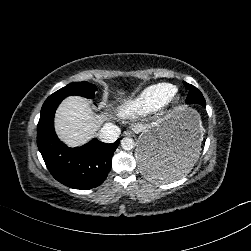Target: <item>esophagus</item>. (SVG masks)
Returning <instances> with one entry per match:
<instances>
[{
    "instance_id": "obj_1",
    "label": "esophagus",
    "mask_w": 251,
    "mask_h": 251,
    "mask_svg": "<svg viewBox=\"0 0 251 251\" xmlns=\"http://www.w3.org/2000/svg\"><path fill=\"white\" fill-rule=\"evenodd\" d=\"M124 135L130 136V135H132V133L131 132H124Z\"/></svg>"
}]
</instances>
